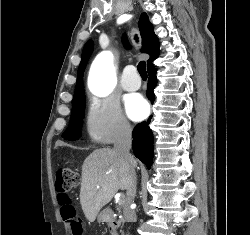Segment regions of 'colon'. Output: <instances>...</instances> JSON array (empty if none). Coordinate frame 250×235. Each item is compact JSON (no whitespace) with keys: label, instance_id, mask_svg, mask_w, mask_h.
<instances>
[{"label":"colon","instance_id":"1","mask_svg":"<svg viewBox=\"0 0 250 235\" xmlns=\"http://www.w3.org/2000/svg\"><path fill=\"white\" fill-rule=\"evenodd\" d=\"M79 183L78 173L67 166H61L56 172V188L59 193L58 202L61 207V215L65 222L70 225L73 235H83L84 228L80 217L73 205L68 191Z\"/></svg>","mask_w":250,"mask_h":235}]
</instances>
